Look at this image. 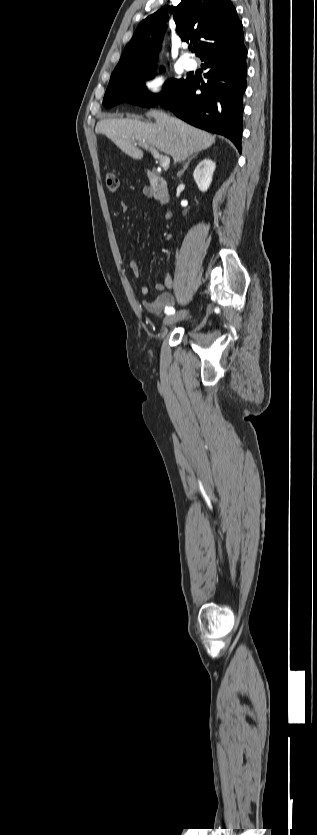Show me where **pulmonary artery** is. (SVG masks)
Listing matches in <instances>:
<instances>
[{"label": "pulmonary artery", "instance_id": "pulmonary-artery-1", "mask_svg": "<svg viewBox=\"0 0 317 835\" xmlns=\"http://www.w3.org/2000/svg\"><path fill=\"white\" fill-rule=\"evenodd\" d=\"M184 67L186 70H195L197 67V61L194 58H188L184 62Z\"/></svg>", "mask_w": 317, "mask_h": 835}]
</instances>
